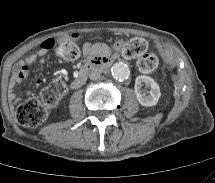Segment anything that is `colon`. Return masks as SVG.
<instances>
[{
	"label": "colon",
	"instance_id": "colon-1",
	"mask_svg": "<svg viewBox=\"0 0 215 183\" xmlns=\"http://www.w3.org/2000/svg\"><path fill=\"white\" fill-rule=\"evenodd\" d=\"M50 47L51 43H43ZM148 42L143 38H132L127 41H119L114 48L127 59H136L138 69L143 73H152L158 68V59L153 54H147ZM55 53L58 57L74 60L79 54L78 45L72 40H66L57 45ZM66 92V85L61 80H55L44 87L38 97L31 98L17 106L15 117L19 124L28 128H36L44 123L52 109Z\"/></svg>",
	"mask_w": 215,
	"mask_h": 183
}]
</instances>
